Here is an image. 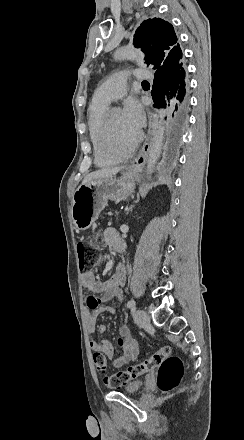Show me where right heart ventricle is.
<instances>
[{
  "label": "right heart ventricle",
  "mask_w": 244,
  "mask_h": 440,
  "mask_svg": "<svg viewBox=\"0 0 244 440\" xmlns=\"http://www.w3.org/2000/svg\"><path fill=\"white\" fill-rule=\"evenodd\" d=\"M108 108L109 104L104 102H94L93 100L88 108L89 133L95 149V163L101 168H112L119 164L122 159V156L117 151V146H111L113 151L111 154H107L103 149L104 147L101 146L103 141L100 140L101 136L99 134L104 132V130L101 128V124L103 123L104 114ZM129 134L132 135L130 130Z\"/></svg>",
  "instance_id": "1"
}]
</instances>
